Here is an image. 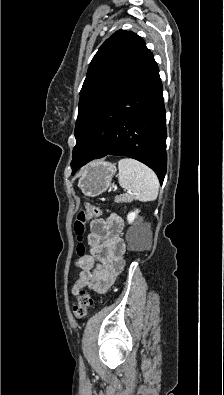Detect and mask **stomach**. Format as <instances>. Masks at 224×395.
Listing matches in <instances>:
<instances>
[{
    "label": "stomach",
    "instance_id": "stomach-1",
    "mask_svg": "<svg viewBox=\"0 0 224 395\" xmlns=\"http://www.w3.org/2000/svg\"><path fill=\"white\" fill-rule=\"evenodd\" d=\"M114 173L115 166L110 162H91L83 169L78 186L86 196H98L108 189Z\"/></svg>",
    "mask_w": 224,
    "mask_h": 395
}]
</instances>
